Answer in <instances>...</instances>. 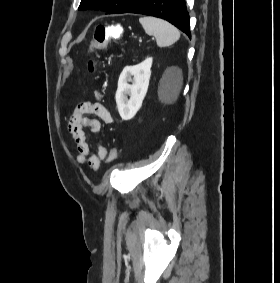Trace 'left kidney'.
Masks as SVG:
<instances>
[{"label": "left kidney", "mask_w": 280, "mask_h": 283, "mask_svg": "<svg viewBox=\"0 0 280 283\" xmlns=\"http://www.w3.org/2000/svg\"><path fill=\"white\" fill-rule=\"evenodd\" d=\"M152 62V58H147L138 65L125 67L120 74L115 99L123 120L132 119L141 108L149 86Z\"/></svg>", "instance_id": "5707ae66"}]
</instances>
